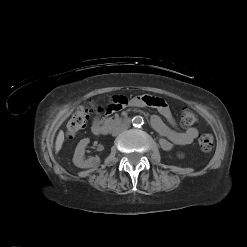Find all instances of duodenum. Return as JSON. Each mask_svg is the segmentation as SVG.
Here are the masks:
<instances>
[{"mask_svg": "<svg viewBox=\"0 0 247 247\" xmlns=\"http://www.w3.org/2000/svg\"><path fill=\"white\" fill-rule=\"evenodd\" d=\"M129 121L128 118H122V117H110L105 120V122L100 125L96 131L97 134H107L109 131H111L116 126L125 124Z\"/></svg>", "mask_w": 247, "mask_h": 247, "instance_id": "duodenum-1", "label": "duodenum"}]
</instances>
